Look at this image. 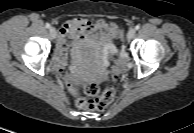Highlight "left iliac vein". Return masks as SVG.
Listing matches in <instances>:
<instances>
[{
  "label": "left iliac vein",
  "mask_w": 194,
  "mask_h": 133,
  "mask_svg": "<svg viewBox=\"0 0 194 133\" xmlns=\"http://www.w3.org/2000/svg\"><path fill=\"white\" fill-rule=\"evenodd\" d=\"M135 36V29L131 28L127 33V40H131Z\"/></svg>",
  "instance_id": "1"
}]
</instances>
